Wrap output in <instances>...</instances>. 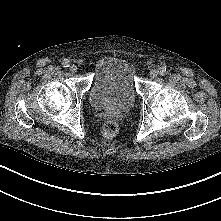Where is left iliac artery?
Segmentation results:
<instances>
[{
    "label": "left iliac artery",
    "instance_id": "44dca946",
    "mask_svg": "<svg viewBox=\"0 0 221 221\" xmlns=\"http://www.w3.org/2000/svg\"><path fill=\"white\" fill-rule=\"evenodd\" d=\"M158 72H159L160 75H165L167 73V68L165 66H161L158 69Z\"/></svg>",
    "mask_w": 221,
    "mask_h": 221
}]
</instances>
